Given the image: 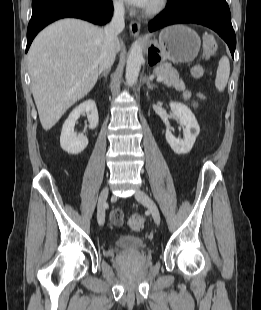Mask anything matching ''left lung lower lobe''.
I'll return each mask as SVG.
<instances>
[{"label":"left lung lower lobe","mask_w":261,"mask_h":310,"mask_svg":"<svg viewBox=\"0 0 261 310\" xmlns=\"http://www.w3.org/2000/svg\"><path fill=\"white\" fill-rule=\"evenodd\" d=\"M177 23H196L211 28L226 41L234 57L236 36L226 0H168L166 9L148 24V28L152 32Z\"/></svg>","instance_id":"obj_1"}]
</instances>
